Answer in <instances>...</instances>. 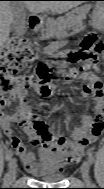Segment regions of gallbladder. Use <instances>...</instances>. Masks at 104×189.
<instances>
[{
	"mask_svg": "<svg viewBox=\"0 0 104 189\" xmlns=\"http://www.w3.org/2000/svg\"><path fill=\"white\" fill-rule=\"evenodd\" d=\"M11 8L15 14L14 21L11 24V29L15 31L17 35H23L27 30L25 6L21 2H12Z\"/></svg>",
	"mask_w": 104,
	"mask_h": 189,
	"instance_id": "1",
	"label": "gallbladder"
}]
</instances>
